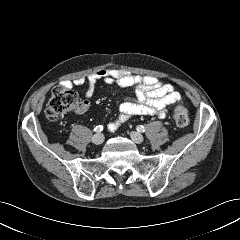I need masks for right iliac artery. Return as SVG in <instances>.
I'll return each instance as SVG.
<instances>
[{
    "instance_id": "82829eb1",
    "label": "right iliac artery",
    "mask_w": 240,
    "mask_h": 240,
    "mask_svg": "<svg viewBox=\"0 0 240 240\" xmlns=\"http://www.w3.org/2000/svg\"><path fill=\"white\" fill-rule=\"evenodd\" d=\"M103 130V126L102 125H98L94 128V131L96 132H101Z\"/></svg>"
}]
</instances>
